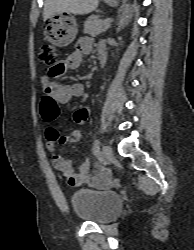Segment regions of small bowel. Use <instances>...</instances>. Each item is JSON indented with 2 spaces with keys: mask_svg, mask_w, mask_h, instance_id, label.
Instances as JSON below:
<instances>
[{
  "mask_svg": "<svg viewBox=\"0 0 194 250\" xmlns=\"http://www.w3.org/2000/svg\"><path fill=\"white\" fill-rule=\"evenodd\" d=\"M92 49L93 43L91 39L87 37L80 39L74 52L70 54L64 61L58 63L55 66L54 76H60L68 70L78 68L81 65L83 56L90 53ZM98 52L99 54L101 52H105L104 48L99 47ZM41 82L45 91L49 92L57 101L61 103L68 102L72 98L82 97L84 94V86L80 83H55L50 81V75L47 74L42 77ZM89 113V107L80 108L74 113L73 120L78 124H83L86 122ZM45 137L47 140L46 147L51 153V162L54 168H56L66 178L67 183L71 186H80L87 183L90 178L89 160H84L80 164L78 172L75 173L73 171L71 160L56 152V142L59 138L57 130L53 127L47 128L45 131Z\"/></svg>",
  "mask_w": 194,
  "mask_h": 250,
  "instance_id": "1",
  "label": "small bowel"
}]
</instances>
